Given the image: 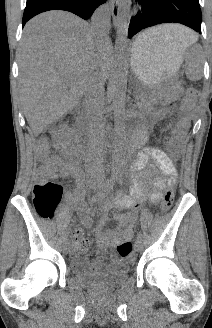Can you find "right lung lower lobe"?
<instances>
[{
  "label": "right lung lower lobe",
  "instance_id": "98d812e1",
  "mask_svg": "<svg viewBox=\"0 0 212 328\" xmlns=\"http://www.w3.org/2000/svg\"><path fill=\"white\" fill-rule=\"evenodd\" d=\"M106 0H27L22 26L35 15L49 10L70 11L83 19H89L95 9Z\"/></svg>",
  "mask_w": 212,
  "mask_h": 328
}]
</instances>
